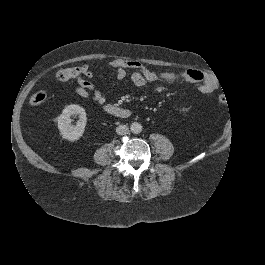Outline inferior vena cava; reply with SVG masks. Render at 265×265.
Returning a JSON list of instances; mask_svg holds the SVG:
<instances>
[{
  "mask_svg": "<svg viewBox=\"0 0 265 265\" xmlns=\"http://www.w3.org/2000/svg\"><path fill=\"white\" fill-rule=\"evenodd\" d=\"M115 131H116V133L118 135H124V134H127L129 132V128H128V126L122 124V125H118L116 127V130Z\"/></svg>",
  "mask_w": 265,
  "mask_h": 265,
  "instance_id": "1",
  "label": "inferior vena cava"
}]
</instances>
